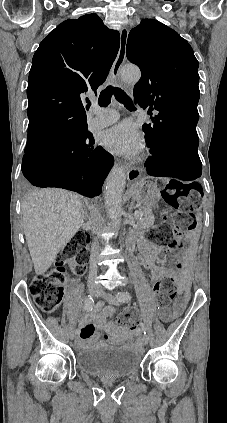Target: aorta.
Wrapping results in <instances>:
<instances>
[{
    "instance_id": "obj_1",
    "label": "aorta",
    "mask_w": 227,
    "mask_h": 423,
    "mask_svg": "<svg viewBox=\"0 0 227 423\" xmlns=\"http://www.w3.org/2000/svg\"><path fill=\"white\" fill-rule=\"evenodd\" d=\"M141 73L137 67L125 66L122 78L127 82H137ZM126 184V174L123 167L114 166L106 179L104 203L112 222L117 225L122 218V195Z\"/></svg>"
}]
</instances>
